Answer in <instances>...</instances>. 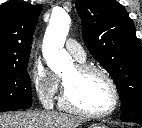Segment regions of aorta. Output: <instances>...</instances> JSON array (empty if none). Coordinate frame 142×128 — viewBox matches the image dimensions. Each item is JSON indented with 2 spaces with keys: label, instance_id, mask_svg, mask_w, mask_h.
<instances>
[{
  "label": "aorta",
  "instance_id": "1",
  "mask_svg": "<svg viewBox=\"0 0 142 128\" xmlns=\"http://www.w3.org/2000/svg\"><path fill=\"white\" fill-rule=\"evenodd\" d=\"M70 24V16L64 10H58L52 14L45 32L43 56L50 69L57 74L71 65V56L63 49Z\"/></svg>",
  "mask_w": 142,
  "mask_h": 128
}]
</instances>
